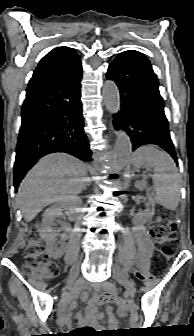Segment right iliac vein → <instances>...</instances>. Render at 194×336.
Returning a JSON list of instances; mask_svg holds the SVG:
<instances>
[{
	"label": "right iliac vein",
	"mask_w": 194,
	"mask_h": 336,
	"mask_svg": "<svg viewBox=\"0 0 194 336\" xmlns=\"http://www.w3.org/2000/svg\"><path fill=\"white\" fill-rule=\"evenodd\" d=\"M80 265H81V262L77 263V265L73 268L67 280V284L73 283V281L77 278V276L79 275V271H80Z\"/></svg>",
	"instance_id": "right-iliac-vein-1"
}]
</instances>
